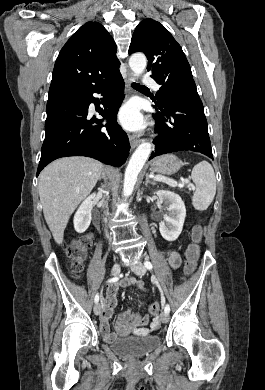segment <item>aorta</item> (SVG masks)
<instances>
[{
    "label": "aorta",
    "instance_id": "762f6f07",
    "mask_svg": "<svg viewBox=\"0 0 265 390\" xmlns=\"http://www.w3.org/2000/svg\"><path fill=\"white\" fill-rule=\"evenodd\" d=\"M129 66L134 72L135 76H140L147 66L146 56L142 53H135L131 55L129 59ZM151 148L152 145L150 143L144 142L140 144L133 153L125 171L123 185L124 197H128L132 194L137 181L138 174L143 168L146 160L148 159L151 153Z\"/></svg>",
    "mask_w": 265,
    "mask_h": 390
}]
</instances>
